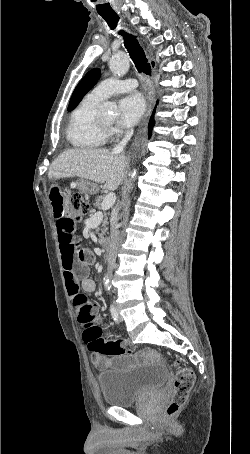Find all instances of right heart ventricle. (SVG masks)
<instances>
[{"instance_id": "1", "label": "right heart ventricle", "mask_w": 250, "mask_h": 454, "mask_svg": "<svg viewBox=\"0 0 250 454\" xmlns=\"http://www.w3.org/2000/svg\"><path fill=\"white\" fill-rule=\"evenodd\" d=\"M100 102L88 95L71 113L66 137L73 148L94 149L106 141L107 135L99 128L97 122Z\"/></svg>"}]
</instances>
